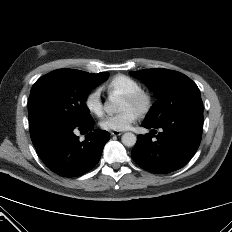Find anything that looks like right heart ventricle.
Listing matches in <instances>:
<instances>
[{
    "label": "right heart ventricle",
    "mask_w": 232,
    "mask_h": 232,
    "mask_svg": "<svg viewBox=\"0 0 232 232\" xmlns=\"http://www.w3.org/2000/svg\"><path fill=\"white\" fill-rule=\"evenodd\" d=\"M105 88L109 94L119 93L121 95L142 90V86L139 81L124 74H118L111 78L106 83Z\"/></svg>",
    "instance_id": "obj_1"
}]
</instances>
